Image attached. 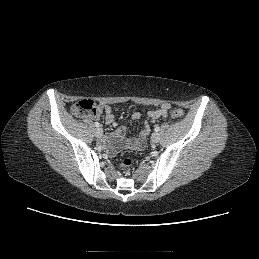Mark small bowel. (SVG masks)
<instances>
[{
    "mask_svg": "<svg viewBox=\"0 0 259 259\" xmlns=\"http://www.w3.org/2000/svg\"><path fill=\"white\" fill-rule=\"evenodd\" d=\"M170 104L162 103L158 108L148 111L147 117L150 119L167 118L169 116ZM101 113L105 114V122L108 125L113 124L115 117L112 108L109 105L100 106L99 112L93 118H97ZM133 120H139L142 114L139 111H135L131 115ZM126 129L123 126L118 127L112 134V141L108 142L106 139H102L101 144L110 153L116 152L124 147L133 149H142L145 145L147 137L150 133V126L147 122L144 123L139 135L135 138L125 139Z\"/></svg>",
    "mask_w": 259,
    "mask_h": 259,
    "instance_id": "c3829d8e",
    "label": "small bowel"
}]
</instances>
